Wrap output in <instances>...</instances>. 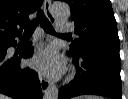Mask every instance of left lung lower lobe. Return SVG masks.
<instances>
[{"label": "left lung lower lobe", "instance_id": "1", "mask_svg": "<svg viewBox=\"0 0 128 99\" xmlns=\"http://www.w3.org/2000/svg\"><path fill=\"white\" fill-rule=\"evenodd\" d=\"M76 66V77L59 91L58 99L83 94L122 99L119 44L93 42L80 53L68 52Z\"/></svg>", "mask_w": 128, "mask_h": 99}]
</instances>
